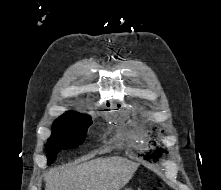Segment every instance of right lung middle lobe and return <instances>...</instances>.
I'll return each mask as SVG.
<instances>
[{
    "mask_svg": "<svg viewBox=\"0 0 221 190\" xmlns=\"http://www.w3.org/2000/svg\"><path fill=\"white\" fill-rule=\"evenodd\" d=\"M91 124L89 116L80 115L73 111H69L56 119L52 125V135L46 144L48 164L56 159L59 151L81 145Z\"/></svg>",
    "mask_w": 221,
    "mask_h": 190,
    "instance_id": "obj_1",
    "label": "right lung middle lobe"
}]
</instances>
